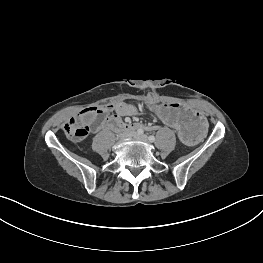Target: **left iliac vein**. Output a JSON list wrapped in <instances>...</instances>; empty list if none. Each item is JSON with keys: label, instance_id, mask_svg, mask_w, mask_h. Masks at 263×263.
Returning <instances> with one entry per match:
<instances>
[{"label": "left iliac vein", "instance_id": "obj_1", "mask_svg": "<svg viewBox=\"0 0 263 263\" xmlns=\"http://www.w3.org/2000/svg\"><path fill=\"white\" fill-rule=\"evenodd\" d=\"M138 138H140L141 140L147 142L148 141V137L145 134H139L137 135Z\"/></svg>", "mask_w": 263, "mask_h": 263}]
</instances>
